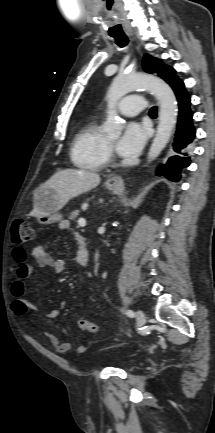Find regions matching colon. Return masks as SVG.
Here are the masks:
<instances>
[{
  "label": "colon",
  "instance_id": "obj_1",
  "mask_svg": "<svg viewBox=\"0 0 215 433\" xmlns=\"http://www.w3.org/2000/svg\"><path fill=\"white\" fill-rule=\"evenodd\" d=\"M33 229L28 222L23 220H18L13 224L12 227V240L16 245H23L30 242L33 239ZM77 325L80 330L87 332H97L98 325L93 321L85 318H79L77 320Z\"/></svg>",
  "mask_w": 215,
  "mask_h": 433
}]
</instances>
